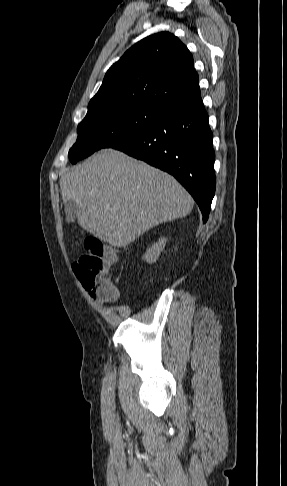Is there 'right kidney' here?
I'll return each instance as SVG.
<instances>
[{
    "instance_id": "obj_1",
    "label": "right kidney",
    "mask_w": 287,
    "mask_h": 486,
    "mask_svg": "<svg viewBox=\"0 0 287 486\" xmlns=\"http://www.w3.org/2000/svg\"><path fill=\"white\" fill-rule=\"evenodd\" d=\"M166 238H160L157 243H154L150 248L147 249L144 259L148 263H154L159 258L160 253L164 250L166 245Z\"/></svg>"
}]
</instances>
